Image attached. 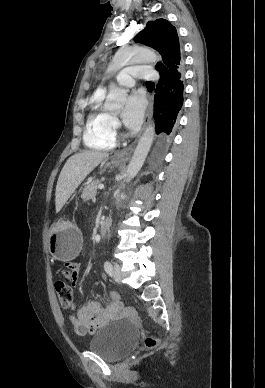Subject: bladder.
Returning a JSON list of instances; mask_svg holds the SVG:
<instances>
[{
    "mask_svg": "<svg viewBox=\"0 0 265 388\" xmlns=\"http://www.w3.org/2000/svg\"><path fill=\"white\" fill-rule=\"evenodd\" d=\"M136 327L128 321H115L99 329L89 343L91 352L117 358L133 346Z\"/></svg>",
    "mask_w": 265,
    "mask_h": 388,
    "instance_id": "bladder-1",
    "label": "bladder"
}]
</instances>
